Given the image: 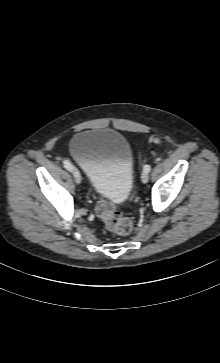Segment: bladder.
<instances>
[{"mask_svg":"<svg viewBox=\"0 0 220 363\" xmlns=\"http://www.w3.org/2000/svg\"><path fill=\"white\" fill-rule=\"evenodd\" d=\"M69 150L99 196L116 205L127 200L133 185L134 161L125 136L109 129H86L72 137Z\"/></svg>","mask_w":220,"mask_h":363,"instance_id":"1","label":"bladder"}]
</instances>
